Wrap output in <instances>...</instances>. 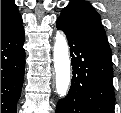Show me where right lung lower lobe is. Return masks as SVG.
Segmentation results:
<instances>
[{"label":"right lung lower lobe","instance_id":"1","mask_svg":"<svg viewBox=\"0 0 121 113\" xmlns=\"http://www.w3.org/2000/svg\"><path fill=\"white\" fill-rule=\"evenodd\" d=\"M24 40L22 25L1 37V113H16L25 70Z\"/></svg>","mask_w":121,"mask_h":113}]
</instances>
